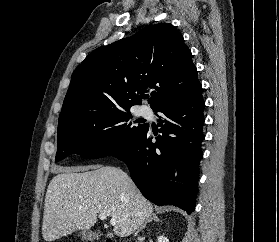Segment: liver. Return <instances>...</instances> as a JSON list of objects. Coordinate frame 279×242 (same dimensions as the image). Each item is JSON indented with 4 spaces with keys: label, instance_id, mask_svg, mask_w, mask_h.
Returning a JSON list of instances; mask_svg holds the SVG:
<instances>
[{
    "label": "liver",
    "instance_id": "6515ba94",
    "mask_svg": "<svg viewBox=\"0 0 279 242\" xmlns=\"http://www.w3.org/2000/svg\"><path fill=\"white\" fill-rule=\"evenodd\" d=\"M100 213L116 219L114 234L127 237L152 216L153 206L119 168H59L45 196L42 236L54 241L89 230Z\"/></svg>",
    "mask_w": 279,
    "mask_h": 242
}]
</instances>
